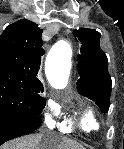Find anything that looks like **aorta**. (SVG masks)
<instances>
[{
    "label": "aorta",
    "instance_id": "obj_1",
    "mask_svg": "<svg viewBox=\"0 0 124 149\" xmlns=\"http://www.w3.org/2000/svg\"><path fill=\"white\" fill-rule=\"evenodd\" d=\"M58 52L60 55L59 70L56 74H50L49 76L50 83L56 88L63 87L66 82V76L70 66L71 48L69 44L63 42L60 44Z\"/></svg>",
    "mask_w": 124,
    "mask_h": 149
}]
</instances>
